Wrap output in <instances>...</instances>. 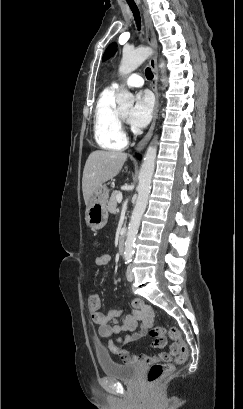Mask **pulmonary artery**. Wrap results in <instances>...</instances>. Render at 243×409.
<instances>
[{"label": "pulmonary artery", "mask_w": 243, "mask_h": 409, "mask_svg": "<svg viewBox=\"0 0 243 409\" xmlns=\"http://www.w3.org/2000/svg\"><path fill=\"white\" fill-rule=\"evenodd\" d=\"M144 83L142 76L139 74L133 73L127 77L125 80V84L129 87H141ZM121 85L120 81H115L111 84V87L114 89H118Z\"/></svg>", "instance_id": "1"}]
</instances>
